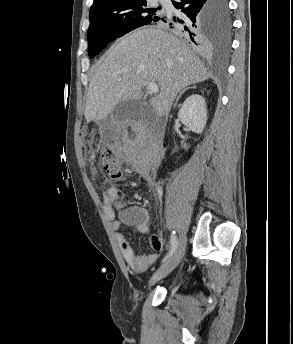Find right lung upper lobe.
<instances>
[{
    "label": "right lung upper lobe",
    "instance_id": "cb5924a9",
    "mask_svg": "<svg viewBox=\"0 0 293 344\" xmlns=\"http://www.w3.org/2000/svg\"><path fill=\"white\" fill-rule=\"evenodd\" d=\"M116 1H118V0H94L93 4L91 6V10L95 9L97 7H101V6L116 2Z\"/></svg>",
    "mask_w": 293,
    "mask_h": 344
}]
</instances>
